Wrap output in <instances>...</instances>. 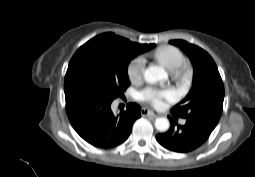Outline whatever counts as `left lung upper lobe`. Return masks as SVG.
<instances>
[{
	"label": "left lung upper lobe",
	"instance_id": "left-lung-upper-lobe-1",
	"mask_svg": "<svg viewBox=\"0 0 255 177\" xmlns=\"http://www.w3.org/2000/svg\"><path fill=\"white\" fill-rule=\"evenodd\" d=\"M190 58L194 68L193 87L172 113L215 128L223 110L224 86L218 68L211 56L200 47L183 40H171Z\"/></svg>",
	"mask_w": 255,
	"mask_h": 177
}]
</instances>
